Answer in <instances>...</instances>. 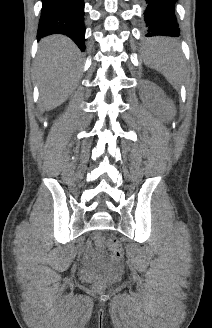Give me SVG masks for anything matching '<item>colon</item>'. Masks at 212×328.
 <instances>
[{"mask_svg": "<svg viewBox=\"0 0 212 328\" xmlns=\"http://www.w3.org/2000/svg\"><path fill=\"white\" fill-rule=\"evenodd\" d=\"M96 243L100 247L106 246L110 250L114 261L121 260L123 256L122 247L116 238L104 239L103 237L98 236L96 237Z\"/></svg>", "mask_w": 212, "mask_h": 328, "instance_id": "1", "label": "colon"}]
</instances>
